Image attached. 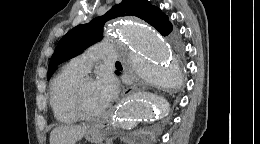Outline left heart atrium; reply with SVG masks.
<instances>
[{
  "label": "left heart atrium",
  "instance_id": "39dd6f15",
  "mask_svg": "<svg viewBox=\"0 0 260 144\" xmlns=\"http://www.w3.org/2000/svg\"><path fill=\"white\" fill-rule=\"evenodd\" d=\"M96 84L102 100L107 105L117 94V81L113 76L103 74Z\"/></svg>",
  "mask_w": 260,
  "mask_h": 144
}]
</instances>
